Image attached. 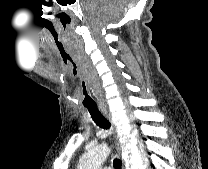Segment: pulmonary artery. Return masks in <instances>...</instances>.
Wrapping results in <instances>:
<instances>
[{"mask_svg": "<svg viewBox=\"0 0 208 169\" xmlns=\"http://www.w3.org/2000/svg\"><path fill=\"white\" fill-rule=\"evenodd\" d=\"M100 169H112L110 166H102Z\"/></svg>", "mask_w": 208, "mask_h": 169, "instance_id": "pulmonary-artery-1", "label": "pulmonary artery"}]
</instances>
